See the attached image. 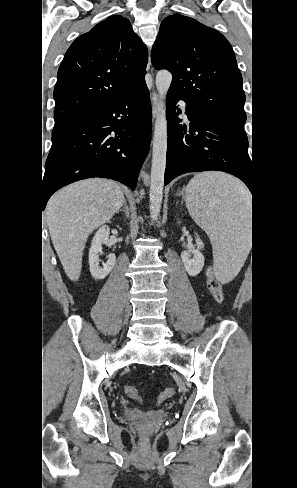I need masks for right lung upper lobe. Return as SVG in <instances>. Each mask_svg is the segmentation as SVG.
<instances>
[{
	"label": "right lung upper lobe",
	"instance_id": "right-lung-upper-lobe-1",
	"mask_svg": "<svg viewBox=\"0 0 297 488\" xmlns=\"http://www.w3.org/2000/svg\"><path fill=\"white\" fill-rule=\"evenodd\" d=\"M147 48L128 19L112 15L78 37L59 67L54 89L59 130L144 81Z\"/></svg>",
	"mask_w": 297,
	"mask_h": 488
}]
</instances>
